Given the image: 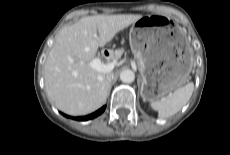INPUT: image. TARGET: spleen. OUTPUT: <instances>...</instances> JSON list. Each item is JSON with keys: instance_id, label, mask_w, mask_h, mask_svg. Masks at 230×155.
I'll return each mask as SVG.
<instances>
[{"instance_id": "1", "label": "spleen", "mask_w": 230, "mask_h": 155, "mask_svg": "<svg viewBox=\"0 0 230 155\" xmlns=\"http://www.w3.org/2000/svg\"><path fill=\"white\" fill-rule=\"evenodd\" d=\"M194 90V83L190 82L178 88L168 97L150 103L153 110L158 112L160 118H168L179 112L190 100Z\"/></svg>"}]
</instances>
